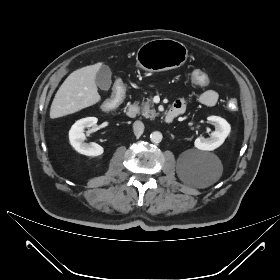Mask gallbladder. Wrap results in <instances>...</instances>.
Listing matches in <instances>:
<instances>
[{
    "label": "gallbladder",
    "mask_w": 280,
    "mask_h": 280,
    "mask_svg": "<svg viewBox=\"0 0 280 280\" xmlns=\"http://www.w3.org/2000/svg\"><path fill=\"white\" fill-rule=\"evenodd\" d=\"M112 72L107 65H102L96 74L95 82L97 86L104 91L109 90L112 84Z\"/></svg>",
    "instance_id": "obj_1"
}]
</instances>
